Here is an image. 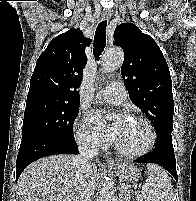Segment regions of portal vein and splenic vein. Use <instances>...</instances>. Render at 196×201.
Listing matches in <instances>:
<instances>
[{"label":"portal vein and splenic vein","mask_w":196,"mask_h":201,"mask_svg":"<svg viewBox=\"0 0 196 201\" xmlns=\"http://www.w3.org/2000/svg\"><path fill=\"white\" fill-rule=\"evenodd\" d=\"M124 190H128V187H125Z\"/></svg>","instance_id":"obj_1"}]
</instances>
